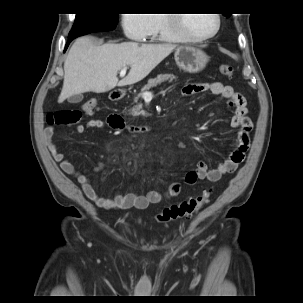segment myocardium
I'll list each match as a JSON object with an SVG mask.
<instances>
[{"label": "myocardium", "mask_w": 303, "mask_h": 303, "mask_svg": "<svg viewBox=\"0 0 303 303\" xmlns=\"http://www.w3.org/2000/svg\"><path fill=\"white\" fill-rule=\"evenodd\" d=\"M215 19V27L212 31L204 35H193L185 28V14H167L168 24L185 41H205L214 37L220 29L221 17L219 14H212Z\"/></svg>", "instance_id": "obj_1"}]
</instances>
